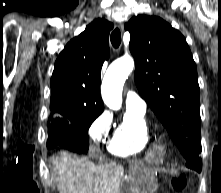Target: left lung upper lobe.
I'll return each mask as SVG.
<instances>
[{"instance_id":"5c2ea615","label":"left lung upper lobe","mask_w":221,"mask_h":193,"mask_svg":"<svg viewBox=\"0 0 221 193\" xmlns=\"http://www.w3.org/2000/svg\"><path fill=\"white\" fill-rule=\"evenodd\" d=\"M141 96L185 160L201 153L200 89L184 36L159 17L138 15L125 24Z\"/></svg>"}]
</instances>
